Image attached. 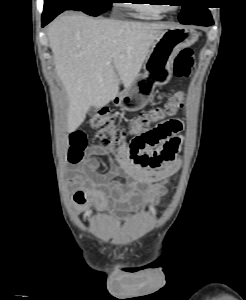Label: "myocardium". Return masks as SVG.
Wrapping results in <instances>:
<instances>
[{
	"mask_svg": "<svg viewBox=\"0 0 246 300\" xmlns=\"http://www.w3.org/2000/svg\"><path fill=\"white\" fill-rule=\"evenodd\" d=\"M177 6H167V7H165V9L166 10H168V11H175V10H177Z\"/></svg>",
	"mask_w": 246,
	"mask_h": 300,
	"instance_id": "obj_1",
	"label": "myocardium"
}]
</instances>
